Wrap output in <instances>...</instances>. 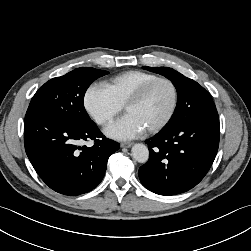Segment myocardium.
<instances>
[{
    "instance_id": "obj_1",
    "label": "myocardium",
    "mask_w": 251,
    "mask_h": 251,
    "mask_svg": "<svg viewBox=\"0 0 251 251\" xmlns=\"http://www.w3.org/2000/svg\"><path fill=\"white\" fill-rule=\"evenodd\" d=\"M159 82H165L171 87L172 104H171V108H170L168 114L166 115V117L156 126L146 130V132L148 134H156V133L160 132L161 130H163L170 123V121L172 120V118L175 115V112H176L177 106H178L179 93H178V88H177L176 84L174 83V81L168 77H157V78L147 82L143 86H141L124 105V110L127 111V109L129 107L140 103L145 98V96L147 95L149 90Z\"/></svg>"
}]
</instances>
